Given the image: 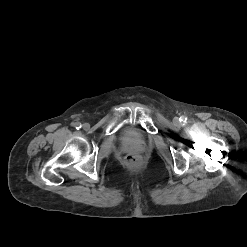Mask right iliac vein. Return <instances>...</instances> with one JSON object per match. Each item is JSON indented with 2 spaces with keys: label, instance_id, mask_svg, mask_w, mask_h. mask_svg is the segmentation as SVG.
<instances>
[{
  "label": "right iliac vein",
  "instance_id": "obj_1",
  "mask_svg": "<svg viewBox=\"0 0 247 247\" xmlns=\"http://www.w3.org/2000/svg\"><path fill=\"white\" fill-rule=\"evenodd\" d=\"M89 127H90V125H89L88 123H84V124H83V128H84L85 130H88Z\"/></svg>",
  "mask_w": 247,
  "mask_h": 247
}]
</instances>
